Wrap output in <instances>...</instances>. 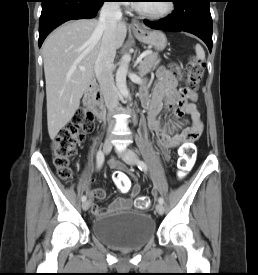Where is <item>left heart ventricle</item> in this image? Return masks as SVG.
Instances as JSON below:
<instances>
[{
	"mask_svg": "<svg viewBox=\"0 0 258 275\" xmlns=\"http://www.w3.org/2000/svg\"><path fill=\"white\" fill-rule=\"evenodd\" d=\"M145 3H139L138 5L151 13H161L167 8V1L161 0V1H144Z\"/></svg>",
	"mask_w": 258,
	"mask_h": 275,
	"instance_id": "b2bd125f",
	"label": "left heart ventricle"
}]
</instances>
